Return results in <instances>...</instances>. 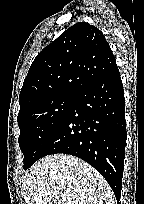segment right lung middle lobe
Instances as JSON below:
<instances>
[{"label": "right lung middle lobe", "mask_w": 144, "mask_h": 204, "mask_svg": "<svg viewBox=\"0 0 144 204\" xmlns=\"http://www.w3.org/2000/svg\"><path fill=\"white\" fill-rule=\"evenodd\" d=\"M75 96L56 95L18 114L20 128L18 142L24 154L25 170L40 158L43 146L65 118Z\"/></svg>", "instance_id": "right-lung-middle-lobe-1"}]
</instances>
